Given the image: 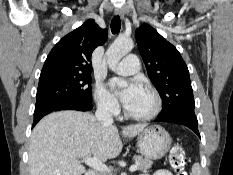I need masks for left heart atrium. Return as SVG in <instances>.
<instances>
[{"instance_id": "obj_1", "label": "left heart atrium", "mask_w": 233, "mask_h": 175, "mask_svg": "<svg viewBox=\"0 0 233 175\" xmlns=\"http://www.w3.org/2000/svg\"><path fill=\"white\" fill-rule=\"evenodd\" d=\"M111 87L118 92L125 107L129 106L142 92V85L137 80L126 81L114 78L110 81Z\"/></svg>"}]
</instances>
